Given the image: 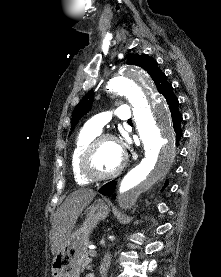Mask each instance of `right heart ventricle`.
I'll list each match as a JSON object with an SVG mask.
<instances>
[{
  "label": "right heart ventricle",
  "mask_w": 221,
  "mask_h": 277,
  "mask_svg": "<svg viewBox=\"0 0 221 277\" xmlns=\"http://www.w3.org/2000/svg\"><path fill=\"white\" fill-rule=\"evenodd\" d=\"M98 134L99 133H96L85 127L79 132L75 139L73 151L71 154V170L74 180L80 185L89 183V180L86 179L80 172L79 163L81 156L86 147L96 136H98Z\"/></svg>",
  "instance_id": "obj_1"
}]
</instances>
